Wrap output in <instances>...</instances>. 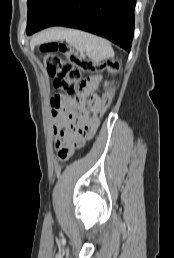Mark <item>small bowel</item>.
Wrapping results in <instances>:
<instances>
[{
  "mask_svg": "<svg viewBox=\"0 0 174 258\" xmlns=\"http://www.w3.org/2000/svg\"><path fill=\"white\" fill-rule=\"evenodd\" d=\"M99 75L88 78L82 85L78 100L66 95L54 96L50 101L53 131L59 158L67 160L77 146H83L92 138L99 126L96 120L100 113L102 96L95 87L100 83ZM89 94V112L84 106V99ZM76 107V110L73 107Z\"/></svg>",
  "mask_w": 174,
  "mask_h": 258,
  "instance_id": "small-bowel-1",
  "label": "small bowel"
}]
</instances>
